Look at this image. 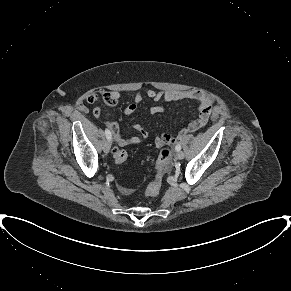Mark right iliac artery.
I'll list each match as a JSON object with an SVG mask.
<instances>
[{
    "instance_id": "82829eb1",
    "label": "right iliac artery",
    "mask_w": 291,
    "mask_h": 291,
    "mask_svg": "<svg viewBox=\"0 0 291 291\" xmlns=\"http://www.w3.org/2000/svg\"><path fill=\"white\" fill-rule=\"evenodd\" d=\"M105 135H106L108 140H111L112 135H111V132L108 129H105Z\"/></svg>"
}]
</instances>
